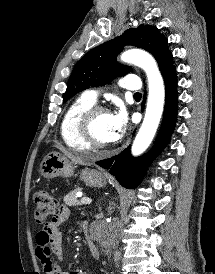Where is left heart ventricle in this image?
I'll list each match as a JSON object with an SVG mask.
<instances>
[{"mask_svg": "<svg viewBox=\"0 0 215 274\" xmlns=\"http://www.w3.org/2000/svg\"><path fill=\"white\" fill-rule=\"evenodd\" d=\"M93 132L100 142H112V131L110 127V114L100 113L93 124Z\"/></svg>", "mask_w": 215, "mask_h": 274, "instance_id": "1", "label": "left heart ventricle"}]
</instances>
